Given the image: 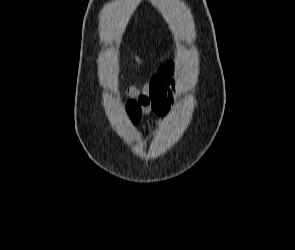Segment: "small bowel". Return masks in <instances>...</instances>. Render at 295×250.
Here are the masks:
<instances>
[{"mask_svg": "<svg viewBox=\"0 0 295 250\" xmlns=\"http://www.w3.org/2000/svg\"><path fill=\"white\" fill-rule=\"evenodd\" d=\"M175 65L168 62L161 66L151 80L141 89L128 88L127 93L146 112H153L158 118H165L174 104L176 81L173 78Z\"/></svg>", "mask_w": 295, "mask_h": 250, "instance_id": "small-bowel-1", "label": "small bowel"}]
</instances>
